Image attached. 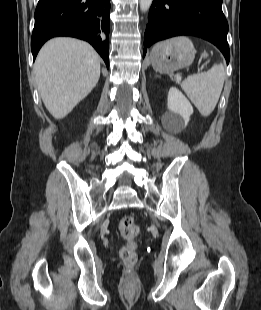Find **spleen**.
<instances>
[{
    "label": "spleen",
    "mask_w": 261,
    "mask_h": 310,
    "mask_svg": "<svg viewBox=\"0 0 261 310\" xmlns=\"http://www.w3.org/2000/svg\"><path fill=\"white\" fill-rule=\"evenodd\" d=\"M225 71L222 64L210 70L187 77L181 83L182 90L204 117L209 116L217 105L223 89Z\"/></svg>",
    "instance_id": "spleen-1"
}]
</instances>
